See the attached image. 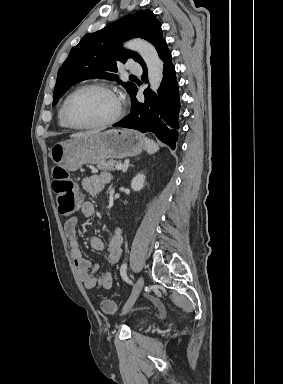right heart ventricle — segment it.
Here are the masks:
<instances>
[{"mask_svg":"<svg viewBox=\"0 0 283 384\" xmlns=\"http://www.w3.org/2000/svg\"><path fill=\"white\" fill-rule=\"evenodd\" d=\"M63 103H64V100L61 102L59 108H58V111H57V121H58V125L59 127L63 128V129H67V127L64 125L63 121H62V107H63Z\"/></svg>","mask_w":283,"mask_h":384,"instance_id":"e07e8e85","label":"right heart ventricle"}]
</instances>
